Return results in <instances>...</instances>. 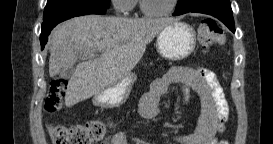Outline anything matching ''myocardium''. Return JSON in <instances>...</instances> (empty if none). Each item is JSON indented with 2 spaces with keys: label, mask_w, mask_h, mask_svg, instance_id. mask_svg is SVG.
<instances>
[{
  "label": "myocardium",
  "mask_w": 273,
  "mask_h": 144,
  "mask_svg": "<svg viewBox=\"0 0 273 144\" xmlns=\"http://www.w3.org/2000/svg\"><path fill=\"white\" fill-rule=\"evenodd\" d=\"M178 1L179 0H172L170 6L166 9L151 10L148 8L146 0H141L140 1V8H141V11L148 16H163V15H167V14H170L171 12H173L178 4Z\"/></svg>",
  "instance_id": "f54148a6"
}]
</instances>
